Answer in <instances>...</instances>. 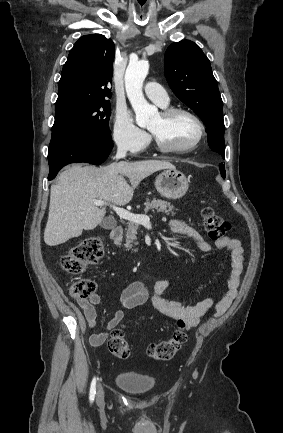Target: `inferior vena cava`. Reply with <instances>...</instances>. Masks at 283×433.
<instances>
[{
  "instance_id": "obj_1",
  "label": "inferior vena cava",
  "mask_w": 283,
  "mask_h": 433,
  "mask_svg": "<svg viewBox=\"0 0 283 433\" xmlns=\"http://www.w3.org/2000/svg\"><path fill=\"white\" fill-rule=\"evenodd\" d=\"M127 148H123V146H118L116 152V158H124L126 156Z\"/></svg>"
}]
</instances>
